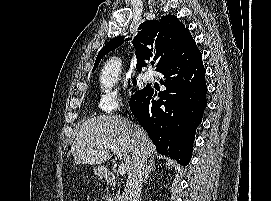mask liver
I'll return each mask as SVG.
<instances>
[{"label": "liver", "instance_id": "6515ba94", "mask_svg": "<svg viewBox=\"0 0 271 201\" xmlns=\"http://www.w3.org/2000/svg\"><path fill=\"white\" fill-rule=\"evenodd\" d=\"M135 126L120 115H100L85 120L80 126L70 153L76 164L98 165L111 158L109 147H117L123 155L127 173L132 171L141 145L135 138ZM98 143L103 148L94 150ZM147 155L152 157L155 146L148 138L145 144Z\"/></svg>", "mask_w": 271, "mask_h": 201}]
</instances>
